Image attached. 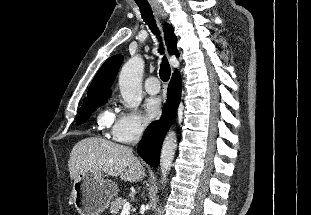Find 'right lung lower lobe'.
I'll list each match as a JSON object with an SVG mask.
<instances>
[{
  "label": "right lung lower lobe",
  "mask_w": 311,
  "mask_h": 215,
  "mask_svg": "<svg viewBox=\"0 0 311 215\" xmlns=\"http://www.w3.org/2000/svg\"><path fill=\"white\" fill-rule=\"evenodd\" d=\"M181 98V76L175 71L168 86L167 102L164 105L162 118L152 122L138 144L139 155L151 166L159 165V156L163 139L175 117Z\"/></svg>",
  "instance_id": "right-lung-lower-lobe-1"
}]
</instances>
